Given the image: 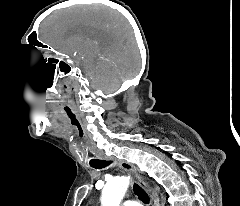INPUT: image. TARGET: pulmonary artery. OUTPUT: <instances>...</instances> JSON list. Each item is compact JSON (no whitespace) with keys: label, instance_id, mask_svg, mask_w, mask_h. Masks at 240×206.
<instances>
[{"label":"pulmonary artery","instance_id":"1","mask_svg":"<svg viewBox=\"0 0 240 206\" xmlns=\"http://www.w3.org/2000/svg\"><path fill=\"white\" fill-rule=\"evenodd\" d=\"M122 206H142V205L134 200H126L123 202Z\"/></svg>","mask_w":240,"mask_h":206}]
</instances>
